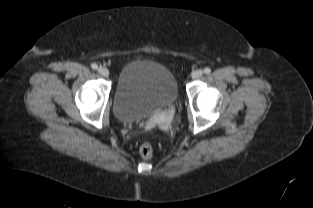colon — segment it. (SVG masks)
I'll return each instance as SVG.
<instances>
[{"instance_id":"colon-1","label":"colon","mask_w":313,"mask_h":208,"mask_svg":"<svg viewBox=\"0 0 313 208\" xmlns=\"http://www.w3.org/2000/svg\"><path fill=\"white\" fill-rule=\"evenodd\" d=\"M140 155L144 159H150L153 156L154 149L150 143H143L139 149Z\"/></svg>"}]
</instances>
